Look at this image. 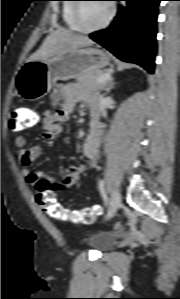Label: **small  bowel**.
<instances>
[{"instance_id":"small-bowel-1","label":"small bowel","mask_w":180,"mask_h":299,"mask_svg":"<svg viewBox=\"0 0 180 299\" xmlns=\"http://www.w3.org/2000/svg\"><path fill=\"white\" fill-rule=\"evenodd\" d=\"M51 99L52 109L45 111L42 120V135L46 140H54L61 134V123L70 118L77 104L83 103L91 107L89 131L82 143V155L89 160L88 165H72L58 176L48 175L44 172H32L28 169V166L40 156V146L26 147L27 138L25 136L17 137L15 144L21 150L20 158L24 166L23 175L27 183L35 186L39 182H44L56 188H67L76 184L88 167H95L99 159L102 132L96 106L97 95L84 89L79 84L68 83L58 85L53 90ZM59 102H61L60 107L58 106Z\"/></svg>"}]
</instances>
